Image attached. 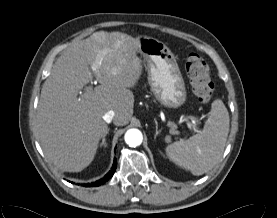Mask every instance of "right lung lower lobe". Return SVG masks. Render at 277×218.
<instances>
[{"mask_svg": "<svg viewBox=\"0 0 277 218\" xmlns=\"http://www.w3.org/2000/svg\"><path fill=\"white\" fill-rule=\"evenodd\" d=\"M116 167H117V162H116V159H115L114 164H113L111 170L109 171V173H107L102 179H100L96 182L90 183V184L88 183L86 186H88V187L100 186L101 184L105 183L106 181H108L112 177V175L115 172Z\"/></svg>", "mask_w": 277, "mask_h": 218, "instance_id": "right-lung-lower-lobe-1", "label": "right lung lower lobe"}]
</instances>
